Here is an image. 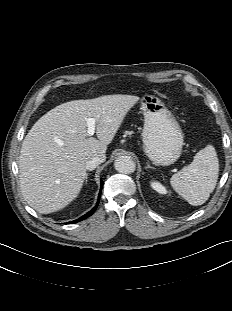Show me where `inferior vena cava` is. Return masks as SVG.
Returning <instances> with one entry per match:
<instances>
[{
    "label": "inferior vena cava",
    "mask_w": 232,
    "mask_h": 311,
    "mask_svg": "<svg viewBox=\"0 0 232 311\" xmlns=\"http://www.w3.org/2000/svg\"><path fill=\"white\" fill-rule=\"evenodd\" d=\"M102 162H104V159L102 157L94 156L86 161L85 168L90 171L94 170Z\"/></svg>",
    "instance_id": "obj_1"
}]
</instances>
